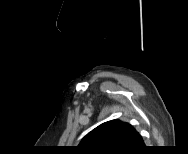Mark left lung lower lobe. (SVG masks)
Returning <instances> with one entry per match:
<instances>
[{"instance_id":"obj_1","label":"left lung lower lobe","mask_w":188,"mask_h":154,"mask_svg":"<svg viewBox=\"0 0 188 154\" xmlns=\"http://www.w3.org/2000/svg\"><path fill=\"white\" fill-rule=\"evenodd\" d=\"M143 146H144L143 139H142L141 135L138 132H136L134 140L132 142L131 149H136V148H140Z\"/></svg>"}]
</instances>
